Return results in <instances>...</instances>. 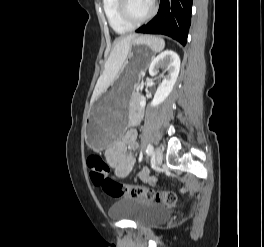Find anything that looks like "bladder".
<instances>
[{
  "mask_svg": "<svg viewBox=\"0 0 264 247\" xmlns=\"http://www.w3.org/2000/svg\"><path fill=\"white\" fill-rule=\"evenodd\" d=\"M112 219L133 221L139 225H151L164 221L168 212L155 202L133 198H120L109 210Z\"/></svg>",
  "mask_w": 264,
  "mask_h": 247,
  "instance_id": "1",
  "label": "bladder"
}]
</instances>
